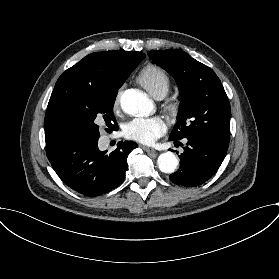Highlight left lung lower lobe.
<instances>
[{
  "label": "left lung lower lobe",
  "mask_w": 279,
  "mask_h": 279,
  "mask_svg": "<svg viewBox=\"0 0 279 279\" xmlns=\"http://www.w3.org/2000/svg\"><path fill=\"white\" fill-rule=\"evenodd\" d=\"M185 139L184 152L179 156L180 169L169 178L177 185L195 187L218 170L227 153L229 139L209 134L188 136ZM169 140L180 143L173 137Z\"/></svg>",
  "instance_id": "obj_1"
}]
</instances>
